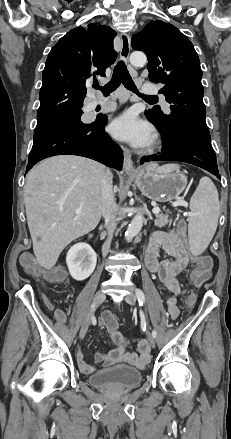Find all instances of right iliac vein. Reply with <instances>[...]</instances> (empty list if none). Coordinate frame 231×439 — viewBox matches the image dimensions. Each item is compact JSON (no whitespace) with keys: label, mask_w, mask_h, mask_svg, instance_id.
Returning <instances> with one entry per match:
<instances>
[{"label":"right iliac vein","mask_w":231,"mask_h":439,"mask_svg":"<svg viewBox=\"0 0 231 439\" xmlns=\"http://www.w3.org/2000/svg\"><path fill=\"white\" fill-rule=\"evenodd\" d=\"M104 299H105V294L102 290L98 291L95 294V296L93 298L92 305H91V307H90V309H89V311H88L87 315L85 316V319L82 323L80 333H79L80 339H83L84 336L86 335L87 330L89 328V325L91 323L93 314H94L96 308L103 302Z\"/></svg>","instance_id":"63e3f726"}]
</instances>
